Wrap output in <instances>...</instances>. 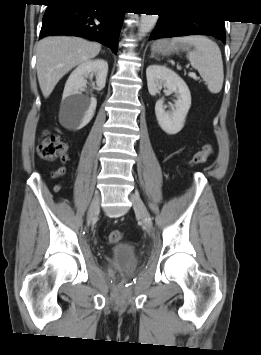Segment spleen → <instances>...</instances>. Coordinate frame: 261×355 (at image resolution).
<instances>
[{"mask_svg": "<svg viewBox=\"0 0 261 355\" xmlns=\"http://www.w3.org/2000/svg\"><path fill=\"white\" fill-rule=\"evenodd\" d=\"M172 42H186L194 46L187 53L191 66L198 70L211 93H219L222 89L224 72L221 51L218 45L205 36L175 37Z\"/></svg>", "mask_w": 261, "mask_h": 355, "instance_id": "obj_1", "label": "spleen"}]
</instances>
